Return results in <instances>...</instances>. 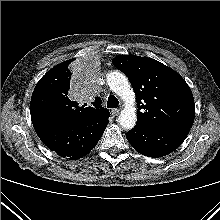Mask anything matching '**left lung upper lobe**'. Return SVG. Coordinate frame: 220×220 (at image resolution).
<instances>
[{"label": "left lung upper lobe", "instance_id": "obj_1", "mask_svg": "<svg viewBox=\"0 0 220 220\" xmlns=\"http://www.w3.org/2000/svg\"><path fill=\"white\" fill-rule=\"evenodd\" d=\"M112 62L128 76L136 93L137 122L152 126L193 125L194 98L176 71L157 60L136 55H120Z\"/></svg>", "mask_w": 220, "mask_h": 220}]
</instances>
